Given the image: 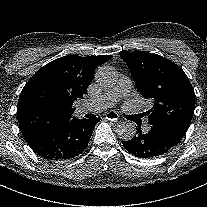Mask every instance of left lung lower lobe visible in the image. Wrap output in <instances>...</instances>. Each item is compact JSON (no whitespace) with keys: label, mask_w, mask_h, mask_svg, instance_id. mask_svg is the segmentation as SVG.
I'll list each match as a JSON object with an SVG mask.
<instances>
[{"label":"left lung lower lobe","mask_w":207,"mask_h":207,"mask_svg":"<svg viewBox=\"0 0 207 207\" xmlns=\"http://www.w3.org/2000/svg\"><path fill=\"white\" fill-rule=\"evenodd\" d=\"M137 133L131 140L122 141L125 149L137 157H157L178 144L172 136L156 127H151L148 133H142L138 127Z\"/></svg>","instance_id":"1"}]
</instances>
